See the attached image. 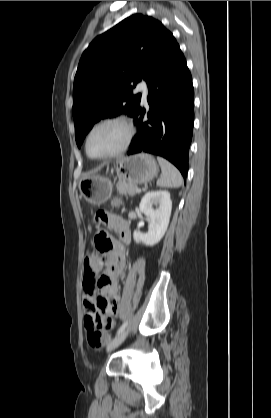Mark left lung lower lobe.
Segmentation results:
<instances>
[{"label":"left lung lower lobe","mask_w":271,"mask_h":418,"mask_svg":"<svg viewBox=\"0 0 271 418\" xmlns=\"http://www.w3.org/2000/svg\"><path fill=\"white\" fill-rule=\"evenodd\" d=\"M148 91V119L144 118L146 110L140 105L133 117L137 134L127 154L147 152L162 156L186 179L194 125V89L175 38L149 79Z\"/></svg>","instance_id":"obj_1"}]
</instances>
